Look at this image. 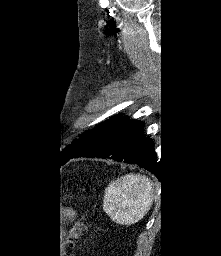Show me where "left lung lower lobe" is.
Here are the masks:
<instances>
[{"label": "left lung lower lobe", "mask_w": 221, "mask_h": 256, "mask_svg": "<svg viewBox=\"0 0 221 256\" xmlns=\"http://www.w3.org/2000/svg\"><path fill=\"white\" fill-rule=\"evenodd\" d=\"M143 128L144 124L140 121H129L122 115L115 116L105 121L70 158H109L137 164L156 173L158 166L154 143L144 136Z\"/></svg>", "instance_id": "left-lung-lower-lobe-1"}]
</instances>
